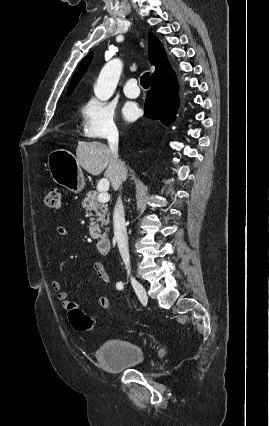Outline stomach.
<instances>
[{
  "label": "stomach",
  "instance_id": "obj_1",
  "mask_svg": "<svg viewBox=\"0 0 269 426\" xmlns=\"http://www.w3.org/2000/svg\"><path fill=\"white\" fill-rule=\"evenodd\" d=\"M48 171L53 181L73 193L81 192L85 187L82 169L72 153L65 149H56L49 153Z\"/></svg>",
  "mask_w": 269,
  "mask_h": 426
}]
</instances>
